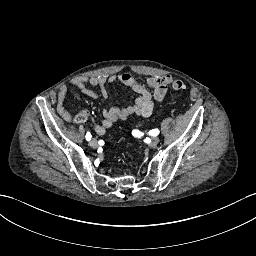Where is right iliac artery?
<instances>
[{"label": "right iliac artery", "mask_w": 256, "mask_h": 256, "mask_svg": "<svg viewBox=\"0 0 256 256\" xmlns=\"http://www.w3.org/2000/svg\"><path fill=\"white\" fill-rule=\"evenodd\" d=\"M85 137H86V140L89 141V140H91V137H92V136H91L90 133H87Z\"/></svg>", "instance_id": "1"}]
</instances>
